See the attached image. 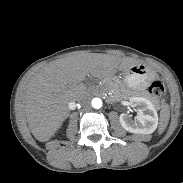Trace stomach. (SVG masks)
I'll return each mask as SVG.
<instances>
[{"label": "stomach", "mask_w": 183, "mask_h": 183, "mask_svg": "<svg viewBox=\"0 0 183 183\" xmlns=\"http://www.w3.org/2000/svg\"><path fill=\"white\" fill-rule=\"evenodd\" d=\"M153 77L151 69L143 64H136L126 70L124 84L129 88L143 90Z\"/></svg>", "instance_id": "1"}]
</instances>
